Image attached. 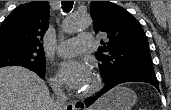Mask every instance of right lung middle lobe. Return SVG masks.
I'll use <instances>...</instances> for the list:
<instances>
[{
  "mask_svg": "<svg viewBox=\"0 0 171 110\" xmlns=\"http://www.w3.org/2000/svg\"><path fill=\"white\" fill-rule=\"evenodd\" d=\"M13 65L23 66L36 73L45 74L44 52L15 43L0 44V67Z\"/></svg>",
  "mask_w": 171,
  "mask_h": 110,
  "instance_id": "obj_1",
  "label": "right lung middle lobe"
}]
</instances>
